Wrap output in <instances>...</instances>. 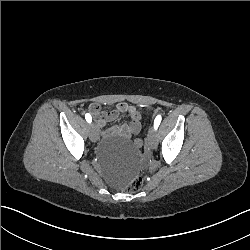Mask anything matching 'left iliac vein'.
Returning a JSON list of instances; mask_svg holds the SVG:
<instances>
[{
	"instance_id": "left-iliac-vein-1",
	"label": "left iliac vein",
	"mask_w": 250,
	"mask_h": 250,
	"mask_svg": "<svg viewBox=\"0 0 250 250\" xmlns=\"http://www.w3.org/2000/svg\"><path fill=\"white\" fill-rule=\"evenodd\" d=\"M147 143L152 149L157 147V135L154 127H151L148 131Z\"/></svg>"
}]
</instances>
